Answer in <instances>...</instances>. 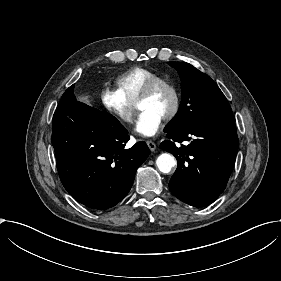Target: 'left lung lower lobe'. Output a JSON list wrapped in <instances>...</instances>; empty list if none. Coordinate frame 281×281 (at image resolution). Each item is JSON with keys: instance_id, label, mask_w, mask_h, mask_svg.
<instances>
[{"instance_id": "1", "label": "left lung lower lobe", "mask_w": 281, "mask_h": 281, "mask_svg": "<svg viewBox=\"0 0 281 281\" xmlns=\"http://www.w3.org/2000/svg\"><path fill=\"white\" fill-rule=\"evenodd\" d=\"M167 137L160 146L178 163L169 182L173 195L195 207L214 202L227 185L238 151L234 116L170 131ZM183 141L190 143H174Z\"/></svg>"}]
</instances>
